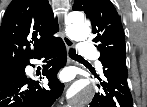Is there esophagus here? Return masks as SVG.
<instances>
[{
    "label": "esophagus",
    "instance_id": "1",
    "mask_svg": "<svg viewBox=\"0 0 147 107\" xmlns=\"http://www.w3.org/2000/svg\"><path fill=\"white\" fill-rule=\"evenodd\" d=\"M62 39H63V41H64V43H65V45L68 49L74 48L75 43L70 38H68L66 35H63Z\"/></svg>",
    "mask_w": 147,
    "mask_h": 107
}]
</instances>
